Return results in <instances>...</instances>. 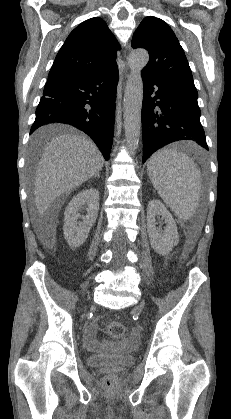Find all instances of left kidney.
Listing matches in <instances>:
<instances>
[{
  "label": "left kidney",
  "instance_id": "5707ae66",
  "mask_svg": "<svg viewBox=\"0 0 231 419\" xmlns=\"http://www.w3.org/2000/svg\"><path fill=\"white\" fill-rule=\"evenodd\" d=\"M162 216L166 227L161 230L156 227V217ZM147 232L151 247L161 255L168 254L179 242L176 222L171 213L159 200H151L147 207Z\"/></svg>",
  "mask_w": 231,
  "mask_h": 419
}]
</instances>
